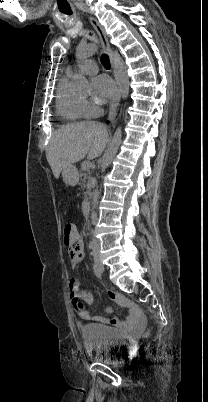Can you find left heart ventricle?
I'll return each mask as SVG.
<instances>
[{"label":"left heart ventricle","mask_w":208,"mask_h":402,"mask_svg":"<svg viewBox=\"0 0 208 402\" xmlns=\"http://www.w3.org/2000/svg\"><path fill=\"white\" fill-rule=\"evenodd\" d=\"M91 95V89L88 86L87 92L85 93V96H90ZM95 97H99V93L97 91L94 92Z\"/></svg>","instance_id":"left-heart-ventricle-1"}]
</instances>
